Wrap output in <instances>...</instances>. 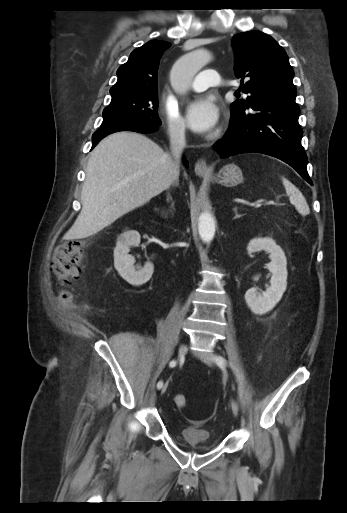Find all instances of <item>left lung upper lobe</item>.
<instances>
[{
    "label": "left lung upper lobe",
    "mask_w": 347,
    "mask_h": 513,
    "mask_svg": "<svg viewBox=\"0 0 347 513\" xmlns=\"http://www.w3.org/2000/svg\"><path fill=\"white\" fill-rule=\"evenodd\" d=\"M234 71L245 81L242 91L246 101L236 100L231 111H239L263 101L295 102L294 71L285 50L270 36L260 31L236 34L232 40Z\"/></svg>",
    "instance_id": "1"
}]
</instances>
